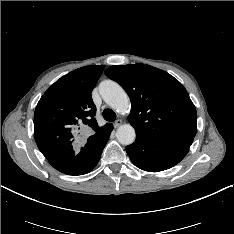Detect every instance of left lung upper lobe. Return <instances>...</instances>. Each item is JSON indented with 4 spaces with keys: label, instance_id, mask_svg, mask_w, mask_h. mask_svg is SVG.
Returning <instances> with one entry per match:
<instances>
[{
    "label": "left lung upper lobe",
    "instance_id": "obj_1",
    "mask_svg": "<svg viewBox=\"0 0 234 234\" xmlns=\"http://www.w3.org/2000/svg\"><path fill=\"white\" fill-rule=\"evenodd\" d=\"M105 74L129 95L128 121L136 135L195 137L196 108L173 76L145 64L111 66Z\"/></svg>",
    "mask_w": 234,
    "mask_h": 234
}]
</instances>
